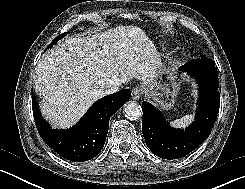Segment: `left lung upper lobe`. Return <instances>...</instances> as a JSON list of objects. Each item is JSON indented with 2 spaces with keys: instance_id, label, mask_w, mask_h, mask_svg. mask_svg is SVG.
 Returning <instances> with one entry per match:
<instances>
[{
  "instance_id": "5c2ea615",
  "label": "left lung upper lobe",
  "mask_w": 245,
  "mask_h": 189,
  "mask_svg": "<svg viewBox=\"0 0 245 189\" xmlns=\"http://www.w3.org/2000/svg\"><path fill=\"white\" fill-rule=\"evenodd\" d=\"M203 57H206V56H204V55L201 54V58H203Z\"/></svg>"
}]
</instances>
